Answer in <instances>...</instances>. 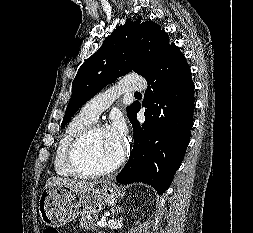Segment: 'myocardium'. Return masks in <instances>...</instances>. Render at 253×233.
<instances>
[{
	"mask_svg": "<svg viewBox=\"0 0 253 233\" xmlns=\"http://www.w3.org/2000/svg\"><path fill=\"white\" fill-rule=\"evenodd\" d=\"M99 128H105L102 124L93 122L88 127L85 128L71 143L66 163L69 169L79 177H100L111 174L112 172L116 171L126 160L127 157V149L125 146H122L120 155L118 158L109 166L97 169V170H88L81 167L79 164V155L85 144L88 142L90 137L94 134L96 130Z\"/></svg>",
	"mask_w": 253,
	"mask_h": 233,
	"instance_id": "1",
	"label": "myocardium"
}]
</instances>
